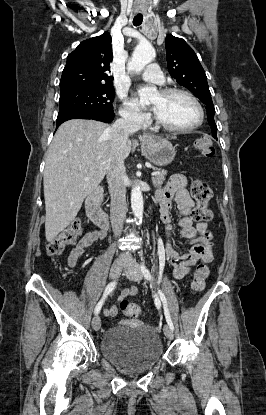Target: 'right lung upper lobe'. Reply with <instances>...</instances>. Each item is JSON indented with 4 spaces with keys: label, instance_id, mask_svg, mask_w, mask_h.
<instances>
[{
    "label": "right lung upper lobe",
    "instance_id": "obj_1",
    "mask_svg": "<svg viewBox=\"0 0 266 415\" xmlns=\"http://www.w3.org/2000/svg\"><path fill=\"white\" fill-rule=\"evenodd\" d=\"M108 32L81 42L67 57L60 80L61 92L93 86H112L109 75L113 58Z\"/></svg>",
    "mask_w": 266,
    "mask_h": 415
}]
</instances>
